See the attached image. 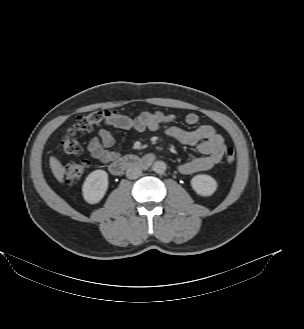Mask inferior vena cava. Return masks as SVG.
Masks as SVG:
<instances>
[{
  "instance_id": "inferior-vena-cava-1",
  "label": "inferior vena cava",
  "mask_w": 304,
  "mask_h": 329,
  "mask_svg": "<svg viewBox=\"0 0 304 329\" xmlns=\"http://www.w3.org/2000/svg\"><path fill=\"white\" fill-rule=\"evenodd\" d=\"M142 175V171L138 166H130L126 170V176L128 179H137Z\"/></svg>"
}]
</instances>
